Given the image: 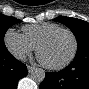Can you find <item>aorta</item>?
Here are the masks:
<instances>
[{"label": "aorta", "instance_id": "obj_1", "mask_svg": "<svg viewBox=\"0 0 89 89\" xmlns=\"http://www.w3.org/2000/svg\"><path fill=\"white\" fill-rule=\"evenodd\" d=\"M30 77L36 83H41L45 78V71L42 68H33Z\"/></svg>", "mask_w": 89, "mask_h": 89}]
</instances>
